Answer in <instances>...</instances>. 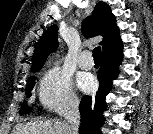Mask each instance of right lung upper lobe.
Listing matches in <instances>:
<instances>
[{
    "label": "right lung upper lobe",
    "mask_w": 153,
    "mask_h": 134,
    "mask_svg": "<svg viewBox=\"0 0 153 134\" xmlns=\"http://www.w3.org/2000/svg\"><path fill=\"white\" fill-rule=\"evenodd\" d=\"M57 31L58 28L56 25L50 26L37 42L31 60V70L33 72L39 71L48 54L57 48ZM82 32L86 37L102 35L103 40L100 44L102 45L103 52L121 43L116 19L111 13L110 7L105 2L96 4L93 16L84 20Z\"/></svg>",
    "instance_id": "obj_1"
}]
</instances>
